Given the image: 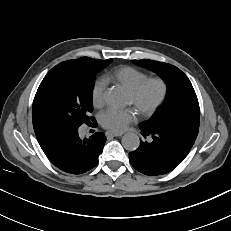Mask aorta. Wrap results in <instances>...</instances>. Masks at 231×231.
Here are the masks:
<instances>
[{
	"instance_id": "1",
	"label": "aorta",
	"mask_w": 231,
	"mask_h": 231,
	"mask_svg": "<svg viewBox=\"0 0 231 231\" xmlns=\"http://www.w3.org/2000/svg\"><path fill=\"white\" fill-rule=\"evenodd\" d=\"M106 103L114 108H121L126 105V100L123 94L118 90H110L105 94ZM122 145L126 150L134 151L140 145L138 135L134 133H127L122 138Z\"/></svg>"
}]
</instances>
